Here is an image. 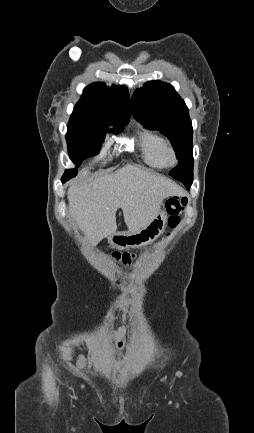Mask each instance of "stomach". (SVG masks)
I'll use <instances>...</instances> for the list:
<instances>
[{
  "label": "stomach",
  "mask_w": 254,
  "mask_h": 433,
  "mask_svg": "<svg viewBox=\"0 0 254 433\" xmlns=\"http://www.w3.org/2000/svg\"><path fill=\"white\" fill-rule=\"evenodd\" d=\"M166 222V211L160 210L144 228L138 231L116 232L108 237V241L113 247L119 249L146 246L162 234Z\"/></svg>",
  "instance_id": "0dacf381"
}]
</instances>
